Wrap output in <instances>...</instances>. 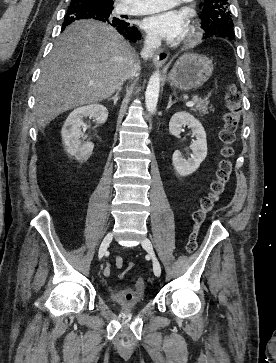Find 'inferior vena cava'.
I'll return each mask as SVG.
<instances>
[{
	"label": "inferior vena cava",
	"mask_w": 276,
	"mask_h": 363,
	"mask_svg": "<svg viewBox=\"0 0 276 363\" xmlns=\"http://www.w3.org/2000/svg\"><path fill=\"white\" fill-rule=\"evenodd\" d=\"M144 43L141 56L143 59H148L153 55L154 50L161 45V38L156 35H147ZM139 68L138 64L134 65V71H137Z\"/></svg>",
	"instance_id": "obj_1"
}]
</instances>
